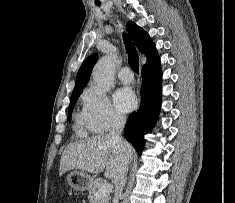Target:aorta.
<instances>
[{
  "mask_svg": "<svg viewBox=\"0 0 235 203\" xmlns=\"http://www.w3.org/2000/svg\"><path fill=\"white\" fill-rule=\"evenodd\" d=\"M92 75L97 94L102 95L112 88L114 86L112 55L102 57L95 65Z\"/></svg>",
  "mask_w": 235,
  "mask_h": 203,
  "instance_id": "obj_1",
  "label": "aorta"
}]
</instances>
